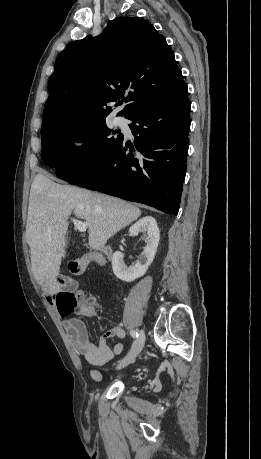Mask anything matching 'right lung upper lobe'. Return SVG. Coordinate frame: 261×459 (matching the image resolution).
Listing matches in <instances>:
<instances>
[{"label":"right lung upper lobe","mask_w":261,"mask_h":459,"mask_svg":"<svg viewBox=\"0 0 261 459\" xmlns=\"http://www.w3.org/2000/svg\"><path fill=\"white\" fill-rule=\"evenodd\" d=\"M184 84L173 51L148 22L111 21L103 34L71 42L58 55L49 80L41 132L65 124L105 120L106 104L126 96L118 115L157 104Z\"/></svg>","instance_id":"obj_1"}]
</instances>
